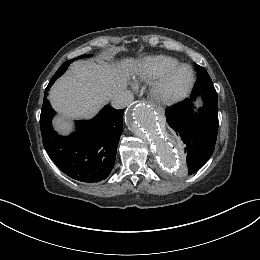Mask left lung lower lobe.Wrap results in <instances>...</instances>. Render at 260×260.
<instances>
[{"instance_id":"left-lung-lower-lobe-1","label":"left lung lower lobe","mask_w":260,"mask_h":260,"mask_svg":"<svg viewBox=\"0 0 260 260\" xmlns=\"http://www.w3.org/2000/svg\"><path fill=\"white\" fill-rule=\"evenodd\" d=\"M201 97L198 110L194 101ZM172 133L181 140L188 173L194 174L211 157L218 132V97L216 92L192 96L165 111Z\"/></svg>"}]
</instances>
